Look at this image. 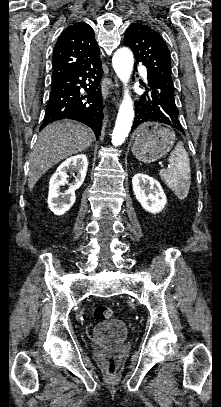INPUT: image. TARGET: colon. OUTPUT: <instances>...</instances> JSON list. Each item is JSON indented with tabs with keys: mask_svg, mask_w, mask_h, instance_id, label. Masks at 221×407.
<instances>
[{
	"mask_svg": "<svg viewBox=\"0 0 221 407\" xmlns=\"http://www.w3.org/2000/svg\"><path fill=\"white\" fill-rule=\"evenodd\" d=\"M93 316L94 319L99 322L110 320L113 318V310L108 306H97L94 309ZM107 372L108 374L114 373V363L112 359L108 361Z\"/></svg>",
	"mask_w": 221,
	"mask_h": 407,
	"instance_id": "colon-1",
	"label": "colon"
}]
</instances>
